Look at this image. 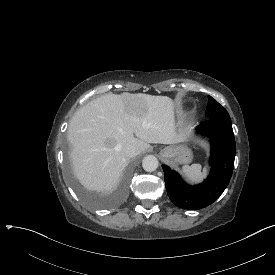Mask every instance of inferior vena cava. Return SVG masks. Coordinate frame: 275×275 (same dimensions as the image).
<instances>
[{"mask_svg": "<svg viewBox=\"0 0 275 275\" xmlns=\"http://www.w3.org/2000/svg\"><path fill=\"white\" fill-rule=\"evenodd\" d=\"M123 152L127 158H132L138 155L137 148L134 145H128L123 149Z\"/></svg>", "mask_w": 275, "mask_h": 275, "instance_id": "1", "label": "inferior vena cava"}]
</instances>
